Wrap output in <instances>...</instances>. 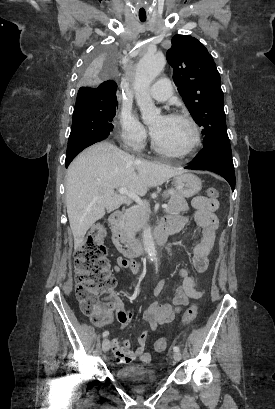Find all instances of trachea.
Segmentation results:
<instances>
[{
    "mask_svg": "<svg viewBox=\"0 0 275 409\" xmlns=\"http://www.w3.org/2000/svg\"><path fill=\"white\" fill-rule=\"evenodd\" d=\"M141 22H145V20H144V19H142V20H141Z\"/></svg>",
    "mask_w": 275,
    "mask_h": 409,
    "instance_id": "1",
    "label": "trachea"
}]
</instances>
